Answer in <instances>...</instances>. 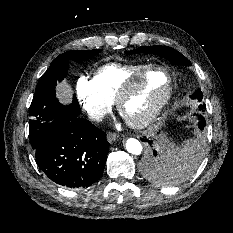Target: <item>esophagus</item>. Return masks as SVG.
Segmentation results:
<instances>
[{"mask_svg": "<svg viewBox=\"0 0 233 233\" xmlns=\"http://www.w3.org/2000/svg\"><path fill=\"white\" fill-rule=\"evenodd\" d=\"M118 138V135L116 133L108 132L107 133V140L109 143H113Z\"/></svg>", "mask_w": 233, "mask_h": 233, "instance_id": "esophagus-1", "label": "esophagus"}]
</instances>
